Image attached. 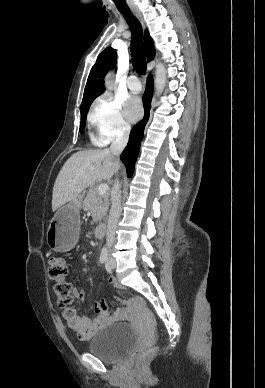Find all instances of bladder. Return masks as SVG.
<instances>
[{"label": "bladder", "instance_id": "1", "mask_svg": "<svg viewBox=\"0 0 265 388\" xmlns=\"http://www.w3.org/2000/svg\"><path fill=\"white\" fill-rule=\"evenodd\" d=\"M136 338L137 333L130 324H113L94 336L88 350L103 359L115 360L135 344Z\"/></svg>", "mask_w": 265, "mask_h": 388}]
</instances>
